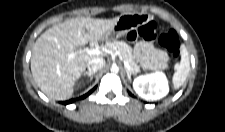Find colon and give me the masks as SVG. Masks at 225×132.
I'll list each match as a JSON object with an SVG mask.
<instances>
[{
	"label": "colon",
	"instance_id": "colon-1",
	"mask_svg": "<svg viewBox=\"0 0 225 132\" xmlns=\"http://www.w3.org/2000/svg\"><path fill=\"white\" fill-rule=\"evenodd\" d=\"M127 38L129 40L142 38L148 41L158 39L159 44L168 50L174 58L179 56L180 41L177 33L173 30H169L158 36L157 25L153 21L144 23L137 29L130 31L127 34Z\"/></svg>",
	"mask_w": 225,
	"mask_h": 132
}]
</instances>
